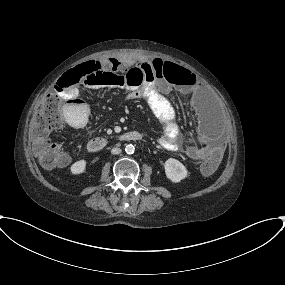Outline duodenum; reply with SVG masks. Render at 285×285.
<instances>
[{"mask_svg":"<svg viewBox=\"0 0 285 285\" xmlns=\"http://www.w3.org/2000/svg\"><path fill=\"white\" fill-rule=\"evenodd\" d=\"M143 135L138 131H128L120 135L116 141L120 142H136L141 141ZM113 141L107 138H95L89 141L88 149L90 152H100L106 149Z\"/></svg>","mask_w":285,"mask_h":285,"instance_id":"duodenum-1","label":"duodenum"}]
</instances>
